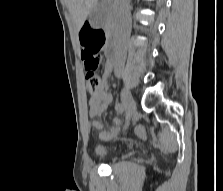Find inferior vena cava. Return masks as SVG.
I'll use <instances>...</instances> for the list:
<instances>
[{
  "label": "inferior vena cava",
  "instance_id": "obj_1",
  "mask_svg": "<svg viewBox=\"0 0 223 191\" xmlns=\"http://www.w3.org/2000/svg\"><path fill=\"white\" fill-rule=\"evenodd\" d=\"M118 22H119V35L117 38V47L120 50L121 56L120 58L125 57L126 51V42L129 34V30L131 27V16L129 11V0H115ZM121 60H119L116 64V72L120 71Z\"/></svg>",
  "mask_w": 223,
  "mask_h": 191
}]
</instances>
